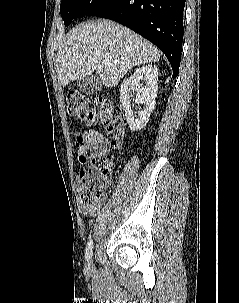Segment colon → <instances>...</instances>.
I'll return each instance as SVG.
<instances>
[{
    "label": "colon",
    "mask_w": 239,
    "mask_h": 303,
    "mask_svg": "<svg viewBox=\"0 0 239 303\" xmlns=\"http://www.w3.org/2000/svg\"><path fill=\"white\" fill-rule=\"evenodd\" d=\"M67 109L71 117L90 124H104L115 148L120 146V137L126 120L120 107L98 98H90L76 90L66 95ZM113 161L107 157L93 159L79 173L80 201L86 206H99L106 199L111 181Z\"/></svg>",
    "instance_id": "1"
}]
</instances>
